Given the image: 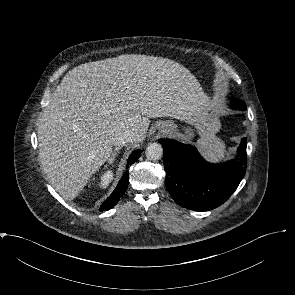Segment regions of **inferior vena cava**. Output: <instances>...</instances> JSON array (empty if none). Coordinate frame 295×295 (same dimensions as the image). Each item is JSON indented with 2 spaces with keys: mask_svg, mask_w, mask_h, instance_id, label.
I'll return each instance as SVG.
<instances>
[{
  "mask_svg": "<svg viewBox=\"0 0 295 295\" xmlns=\"http://www.w3.org/2000/svg\"><path fill=\"white\" fill-rule=\"evenodd\" d=\"M135 133L133 131H125L123 133H121L120 135H118L115 140H114V145L116 146H123L126 143L134 140L135 138Z\"/></svg>",
  "mask_w": 295,
  "mask_h": 295,
  "instance_id": "obj_1",
  "label": "inferior vena cava"
}]
</instances>
